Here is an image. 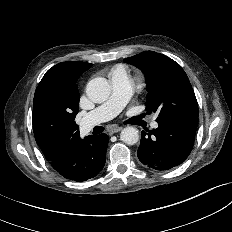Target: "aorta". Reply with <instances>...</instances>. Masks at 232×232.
Listing matches in <instances>:
<instances>
[{"label":"aorta","mask_w":232,"mask_h":232,"mask_svg":"<svg viewBox=\"0 0 232 232\" xmlns=\"http://www.w3.org/2000/svg\"><path fill=\"white\" fill-rule=\"evenodd\" d=\"M86 93L94 103H102L110 96L111 86L107 79L97 77L88 82ZM120 138L124 143L134 145L139 140V132L136 128L128 126L121 131Z\"/></svg>","instance_id":"obj_1"}]
</instances>
